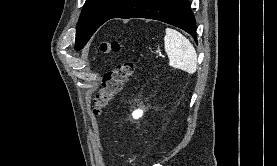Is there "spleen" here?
<instances>
[{
	"instance_id": "1",
	"label": "spleen",
	"mask_w": 277,
	"mask_h": 166,
	"mask_svg": "<svg viewBox=\"0 0 277 166\" xmlns=\"http://www.w3.org/2000/svg\"><path fill=\"white\" fill-rule=\"evenodd\" d=\"M164 48L169 58V65L193 74L197 69V53L191 42L180 32L166 28Z\"/></svg>"
}]
</instances>
